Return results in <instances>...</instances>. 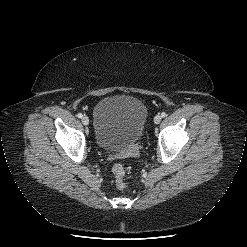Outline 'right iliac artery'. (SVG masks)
<instances>
[{
  "label": "right iliac artery",
  "instance_id": "right-iliac-artery-1",
  "mask_svg": "<svg viewBox=\"0 0 247 247\" xmlns=\"http://www.w3.org/2000/svg\"><path fill=\"white\" fill-rule=\"evenodd\" d=\"M77 117H78V118H82L83 115H82L81 113H78V114H77Z\"/></svg>",
  "mask_w": 247,
  "mask_h": 247
}]
</instances>
